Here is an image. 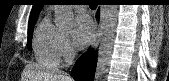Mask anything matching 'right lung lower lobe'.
Returning a JSON list of instances; mask_svg holds the SVG:
<instances>
[{
  "label": "right lung lower lobe",
  "mask_w": 169,
  "mask_h": 81,
  "mask_svg": "<svg viewBox=\"0 0 169 81\" xmlns=\"http://www.w3.org/2000/svg\"><path fill=\"white\" fill-rule=\"evenodd\" d=\"M96 67V55L89 50L83 54L72 69V76L76 81H93Z\"/></svg>",
  "instance_id": "obj_1"
}]
</instances>
